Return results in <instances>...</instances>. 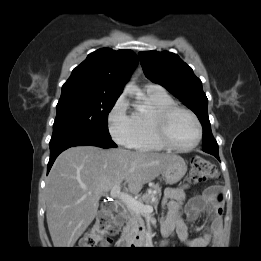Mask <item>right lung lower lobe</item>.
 <instances>
[{"instance_id":"right-lung-lower-lobe-1","label":"right lung lower lobe","mask_w":261,"mask_h":261,"mask_svg":"<svg viewBox=\"0 0 261 261\" xmlns=\"http://www.w3.org/2000/svg\"><path fill=\"white\" fill-rule=\"evenodd\" d=\"M97 146L102 148H115L117 145L111 140V137L92 133L76 132L62 134L51 138L50 160L47 166V172L50 171L57 156L64 150L74 146Z\"/></svg>"}]
</instances>
